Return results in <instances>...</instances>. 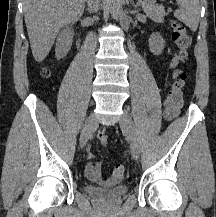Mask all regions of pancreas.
I'll use <instances>...</instances> for the list:
<instances>
[{
  "instance_id": "1",
  "label": "pancreas",
  "mask_w": 216,
  "mask_h": 217,
  "mask_svg": "<svg viewBox=\"0 0 216 217\" xmlns=\"http://www.w3.org/2000/svg\"><path fill=\"white\" fill-rule=\"evenodd\" d=\"M142 8L146 15L155 22L162 23L166 15L164 7L157 5L156 0H144Z\"/></svg>"
}]
</instances>
